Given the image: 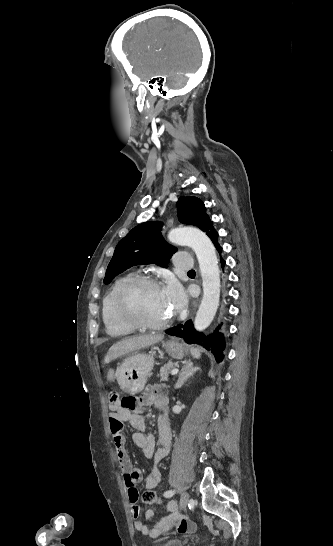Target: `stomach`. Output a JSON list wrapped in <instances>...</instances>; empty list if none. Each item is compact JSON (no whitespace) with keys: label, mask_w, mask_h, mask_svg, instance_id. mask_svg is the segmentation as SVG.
Returning <instances> with one entry per match:
<instances>
[{"label":"stomach","mask_w":333,"mask_h":546,"mask_svg":"<svg viewBox=\"0 0 333 546\" xmlns=\"http://www.w3.org/2000/svg\"><path fill=\"white\" fill-rule=\"evenodd\" d=\"M163 346L172 358H183L185 347L176 339L166 341ZM153 366V355L134 353L127 357L116 370V378L122 390L129 394L141 392Z\"/></svg>","instance_id":"1"}]
</instances>
